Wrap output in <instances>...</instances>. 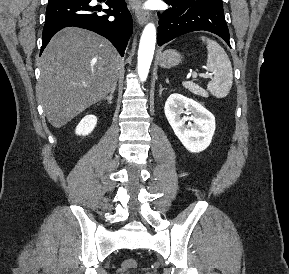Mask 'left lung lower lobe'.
<instances>
[{"label": "left lung lower lobe", "mask_w": 289, "mask_h": 274, "mask_svg": "<svg viewBox=\"0 0 289 274\" xmlns=\"http://www.w3.org/2000/svg\"><path fill=\"white\" fill-rule=\"evenodd\" d=\"M159 15L158 45L161 46L183 34L205 30L220 36L229 46V31L223 4L209 0H183L172 4Z\"/></svg>", "instance_id": "obj_1"}]
</instances>
